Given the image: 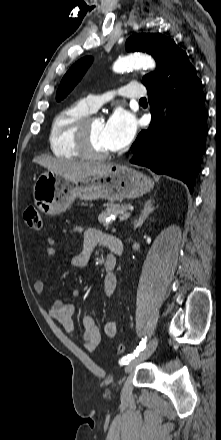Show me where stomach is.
<instances>
[{
    "mask_svg": "<svg viewBox=\"0 0 221 440\" xmlns=\"http://www.w3.org/2000/svg\"><path fill=\"white\" fill-rule=\"evenodd\" d=\"M154 186L151 178L126 165L112 164L89 175L64 176L42 173L33 187L36 206L46 215L65 211L76 198L121 201L135 199Z\"/></svg>",
    "mask_w": 221,
    "mask_h": 440,
    "instance_id": "obj_1",
    "label": "stomach"
}]
</instances>
